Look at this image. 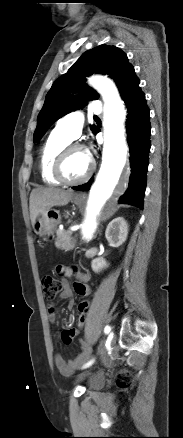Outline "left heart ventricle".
Wrapping results in <instances>:
<instances>
[{"label": "left heart ventricle", "mask_w": 183, "mask_h": 438, "mask_svg": "<svg viewBox=\"0 0 183 438\" xmlns=\"http://www.w3.org/2000/svg\"><path fill=\"white\" fill-rule=\"evenodd\" d=\"M89 168V157L83 150H75L67 157L63 175L67 180L75 181L82 178Z\"/></svg>", "instance_id": "obj_1"}]
</instances>
